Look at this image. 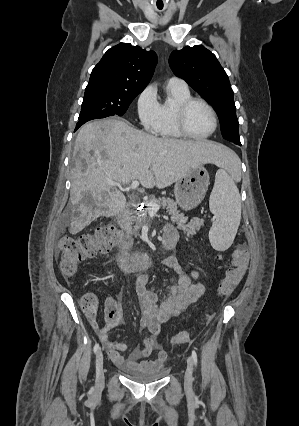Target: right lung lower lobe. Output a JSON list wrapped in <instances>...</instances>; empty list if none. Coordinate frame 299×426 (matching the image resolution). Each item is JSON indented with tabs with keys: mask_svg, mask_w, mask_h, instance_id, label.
I'll return each instance as SVG.
<instances>
[{
	"mask_svg": "<svg viewBox=\"0 0 299 426\" xmlns=\"http://www.w3.org/2000/svg\"><path fill=\"white\" fill-rule=\"evenodd\" d=\"M107 116H101V115H88L84 118L79 119L78 123L76 124V128L75 131L81 126L83 125L85 122L92 120V119H98V118H105Z\"/></svg>",
	"mask_w": 299,
	"mask_h": 426,
	"instance_id": "1",
	"label": "right lung lower lobe"
}]
</instances>
